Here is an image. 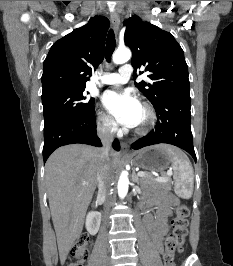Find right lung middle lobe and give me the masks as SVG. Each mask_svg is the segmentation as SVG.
Here are the masks:
<instances>
[{"mask_svg":"<svg viewBox=\"0 0 233 266\" xmlns=\"http://www.w3.org/2000/svg\"><path fill=\"white\" fill-rule=\"evenodd\" d=\"M85 88L58 90L42 95L44 127L65 118L89 114L94 110V99H87Z\"/></svg>","mask_w":233,"mask_h":266,"instance_id":"dd1d6c3e","label":"right lung middle lobe"}]
</instances>
